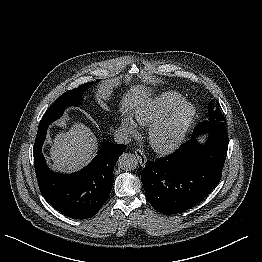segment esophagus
I'll return each instance as SVG.
<instances>
[{
	"instance_id": "esophagus-1",
	"label": "esophagus",
	"mask_w": 262,
	"mask_h": 262,
	"mask_svg": "<svg viewBox=\"0 0 262 262\" xmlns=\"http://www.w3.org/2000/svg\"><path fill=\"white\" fill-rule=\"evenodd\" d=\"M135 155H136L140 165L144 166L146 164V162H147V157H146L144 151L141 150V149H136L135 150Z\"/></svg>"
}]
</instances>
